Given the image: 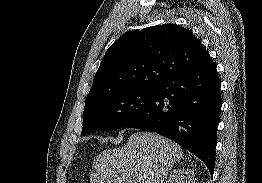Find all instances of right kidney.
Returning a JSON list of instances; mask_svg holds the SVG:
<instances>
[{"label":"right kidney","mask_w":262,"mask_h":183,"mask_svg":"<svg viewBox=\"0 0 262 183\" xmlns=\"http://www.w3.org/2000/svg\"><path fill=\"white\" fill-rule=\"evenodd\" d=\"M166 183H195V174L191 169H175Z\"/></svg>","instance_id":"right-kidney-1"}]
</instances>
